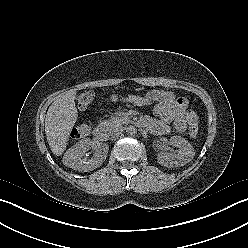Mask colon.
Segmentation results:
<instances>
[{
  "label": "colon",
  "mask_w": 248,
  "mask_h": 248,
  "mask_svg": "<svg viewBox=\"0 0 248 248\" xmlns=\"http://www.w3.org/2000/svg\"><path fill=\"white\" fill-rule=\"evenodd\" d=\"M93 99H94V94L92 92L81 93L77 97V105L81 110H85L91 105ZM109 99L111 101H117L120 100L121 98L118 96H112ZM90 129H91L90 123L81 124L76 126L72 130L71 135L73 138H83L89 134ZM197 133H198V124L196 121H191L189 123V134L191 137H196Z\"/></svg>",
  "instance_id": "obj_1"
}]
</instances>
